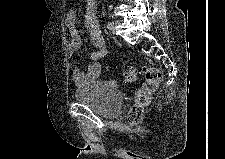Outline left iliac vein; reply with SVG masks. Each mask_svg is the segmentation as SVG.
<instances>
[{"instance_id":"obj_1","label":"left iliac vein","mask_w":225,"mask_h":159,"mask_svg":"<svg viewBox=\"0 0 225 159\" xmlns=\"http://www.w3.org/2000/svg\"><path fill=\"white\" fill-rule=\"evenodd\" d=\"M118 24H119V21H113L112 24H111V26L108 29H110L112 32H114L115 29H116V26Z\"/></svg>"}]
</instances>
